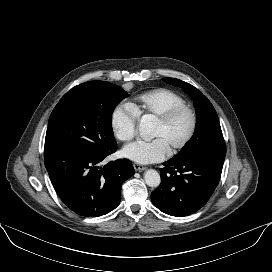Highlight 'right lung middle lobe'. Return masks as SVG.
<instances>
[{"label":"right lung middle lobe","instance_id":"right-lung-middle-lobe-1","mask_svg":"<svg viewBox=\"0 0 272 272\" xmlns=\"http://www.w3.org/2000/svg\"><path fill=\"white\" fill-rule=\"evenodd\" d=\"M126 96L117 85L90 81L81 91L62 97L49 118L44 156L71 147L99 150L115 144L111 114Z\"/></svg>","mask_w":272,"mask_h":272}]
</instances>
